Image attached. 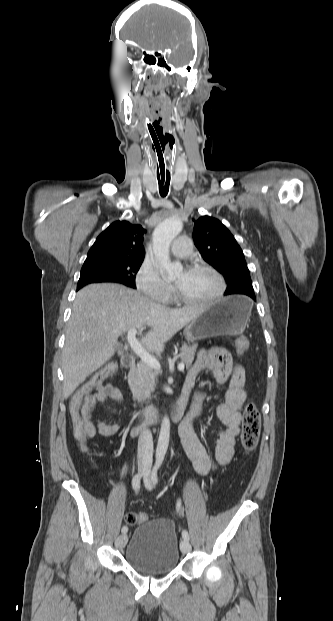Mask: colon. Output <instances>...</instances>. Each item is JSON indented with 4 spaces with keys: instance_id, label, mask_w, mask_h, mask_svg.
I'll return each instance as SVG.
<instances>
[{
    "instance_id": "5ec220e1",
    "label": "colon",
    "mask_w": 333,
    "mask_h": 621,
    "mask_svg": "<svg viewBox=\"0 0 333 621\" xmlns=\"http://www.w3.org/2000/svg\"><path fill=\"white\" fill-rule=\"evenodd\" d=\"M249 348V342L246 338H239L236 341V349L239 354H244ZM117 371V365L115 363H108L95 374H93L72 396L69 405V417L70 423L73 429L75 438L80 444L81 450L88 454V449L85 445V428L80 414V407L84 396L95 388L103 385L104 381L114 375ZM261 432V416L253 403H248L244 409L242 432H241V444L245 453L252 452L258 445ZM148 520V516L145 513L131 512L126 516V522L129 525L141 524Z\"/></svg>"
}]
</instances>
